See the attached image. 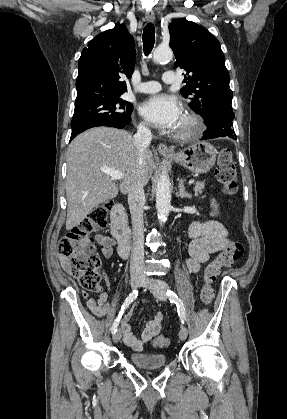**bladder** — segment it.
<instances>
[{
    "instance_id": "1",
    "label": "bladder",
    "mask_w": 287,
    "mask_h": 419,
    "mask_svg": "<svg viewBox=\"0 0 287 419\" xmlns=\"http://www.w3.org/2000/svg\"><path fill=\"white\" fill-rule=\"evenodd\" d=\"M129 360L142 369H158L166 364V357L160 354L132 353Z\"/></svg>"
}]
</instances>
